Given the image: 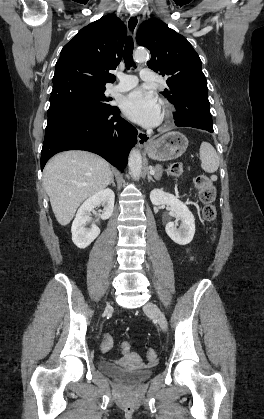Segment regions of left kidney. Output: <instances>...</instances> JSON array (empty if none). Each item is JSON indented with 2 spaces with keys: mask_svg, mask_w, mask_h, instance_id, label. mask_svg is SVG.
<instances>
[{
  "mask_svg": "<svg viewBox=\"0 0 264 419\" xmlns=\"http://www.w3.org/2000/svg\"><path fill=\"white\" fill-rule=\"evenodd\" d=\"M150 200L153 205H169L177 218L181 220L178 229L174 222L167 223L165 228L167 235L179 245L190 243L195 233V219L188 207L174 195L164 192L162 189L152 190Z\"/></svg>",
  "mask_w": 264,
  "mask_h": 419,
  "instance_id": "left-kidney-1",
  "label": "left kidney"
}]
</instances>
